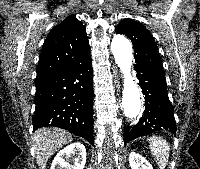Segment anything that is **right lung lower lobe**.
Masks as SVG:
<instances>
[{
    "instance_id": "obj_1",
    "label": "right lung lower lobe",
    "mask_w": 200,
    "mask_h": 169,
    "mask_svg": "<svg viewBox=\"0 0 200 169\" xmlns=\"http://www.w3.org/2000/svg\"><path fill=\"white\" fill-rule=\"evenodd\" d=\"M33 130L64 128L94 145L93 70L90 53L74 65L37 76Z\"/></svg>"
}]
</instances>
